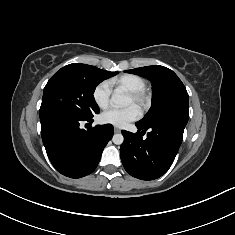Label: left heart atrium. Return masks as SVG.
Wrapping results in <instances>:
<instances>
[{
	"label": "left heart atrium",
	"instance_id": "39dd6f15",
	"mask_svg": "<svg viewBox=\"0 0 235 235\" xmlns=\"http://www.w3.org/2000/svg\"><path fill=\"white\" fill-rule=\"evenodd\" d=\"M139 117V109L135 105H130L124 108L112 107L107 109L102 113L101 120L106 124L125 127L130 122L137 120Z\"/></svg>",
	"mask_w": 235,
	"mask_h": 235
}]
</instances>
